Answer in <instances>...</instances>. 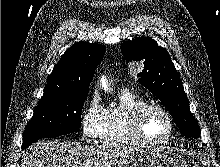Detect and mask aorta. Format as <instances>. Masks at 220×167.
Here are the masks:
<instances>
[{
    "mask_svg": "<svg viewBox=\"0 0 220 167\" xmlns=\"http://www.w3.org/2000/svg\"><path fill=\"white\" fill-rule=\"evenodd\" d=\"M102 83H103V86L106 88L105 80H103Z\"/></svg>",
    "mask_w": 220,
    "mask_h": 167,
    "instance_id": "1",
    "label": "aorta"
}]
</instances>
